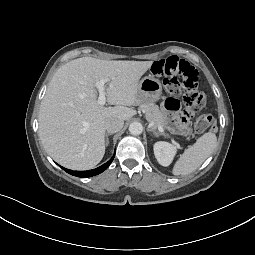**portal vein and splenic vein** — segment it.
Instances as JSON below:
<instances>
[{
    "label": "portal vein and splenic vein",
    "mask_w": 255,
    "mask_h": 255,
    "mask_svg": "<svg viewBox=\"0 0 255 255\" xmlns=\"http://www.w3.org/2000/svg\"><path fill=\"white\" fill-rule=\"evenodd\" d=\"M107 80H100L95 83V87L98 89L99 92V97H98V104L99 105H104L106 102V95H105V88L104 84L106 83ZM150 125H153L152 123ZM158 130L160 132H164V129L162 126H158Z\"/></svg>",
    "instance_id": "18ae733b"
}]
</instances>
